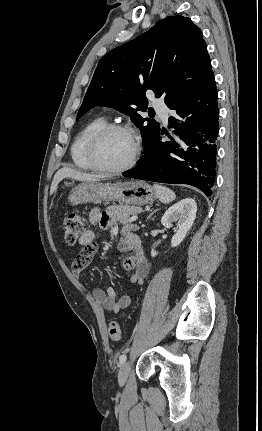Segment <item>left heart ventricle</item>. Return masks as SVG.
<instances>
[{
    "instance_id": "b2bd125f",
    "label": "left heart ventricle",
    "mask_w": 262,
    "mask_h": 431,
    "mask_svg": "<svg viewBox=\"0 0 262 431\" xmlns=\"http://www.w3.org/2000/svg\"><path fill=\"white\" fill-rule=\"evenodd\" d=\"M134 150L133 138L124 132H113L106 136L100 146V158L109 167H120L131 158Z\"/></svg>"
}]
</instances>
